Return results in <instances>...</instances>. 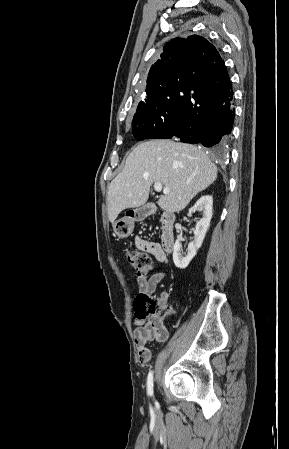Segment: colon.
Masks as SVG:
<instances>
[{
  "mask_svg": "<svg viewBox=\"0 0 289 449\" xmlns=\"http://www.w3.org/2000/svg\"><path fill=\"white\" fill-rule=\"evenodd\" d=\"M126 258L139 275L148 274L153 267L151 257L144 251L127 250ZM136 313L152 321L156 327L163 328V319L167 314L166 301L163 297H151L140 294L135 300Z\"/></svg>",
  "mask_w": 289,
  "mask_h": 449,
  "instance_id": "5ec220e1",
  "label": "colon"
}]
</instances>
